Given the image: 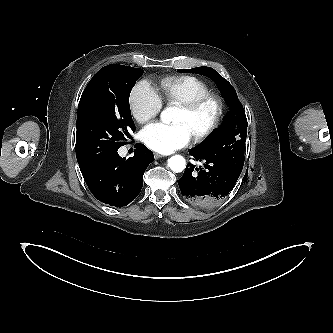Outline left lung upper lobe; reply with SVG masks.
I'll return each mask as SVG.
<instances>
[{
  "instance_id": "left-lung-upper-lobe-1",
  "label": "left lung upper lobe",
  "mask_w": 333,
  "mask_h": 333,
  "mask_svg": "<svg viewBox=\"0 0 333 333\" xmlns=\"http://www.w3.org/2000/svg\"><path fill=\"white\" fill-rule=\"evenodd\" d=\"M178 71L202 74L217 83L219 90L228 102L230 111L222 128L217 131L216 135L196 149L207 157L213 158L241 174L244 165L247 119L235 89L217 71L210 67L179 69Z\"/></svg>"
}]
</instances>
